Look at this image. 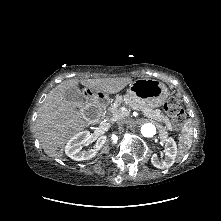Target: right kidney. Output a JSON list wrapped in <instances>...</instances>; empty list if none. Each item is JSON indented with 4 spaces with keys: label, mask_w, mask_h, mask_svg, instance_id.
Masks as SVG:
<instances>
[{
    "label": "right kidney",
    "mask_w": 221,
    "mask_h": 221,
    "mask_svg": "<svg viewBox=\"0 0 221 221\" xmlns=\"http://www.w3.org/2000/svg\"><path fill=\"white\" fill-rule=\"evenodd\" d=\"M90 139L89 131H82L74 135L68 140L65 146V153L68 157L76 161L88 160L94 157L106 142V136L98 138L95 147L82 151L83 143H87Z\"/></svg>",
    "instance_id": "obj_1"
}]
</instances>
